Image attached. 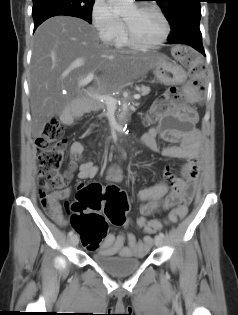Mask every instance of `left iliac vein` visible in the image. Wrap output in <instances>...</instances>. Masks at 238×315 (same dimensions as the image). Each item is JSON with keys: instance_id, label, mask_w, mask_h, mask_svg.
I'll list each match as a JSON object with an SVG mask.
<instances>
[{"instance_id": "left-iliac-vein-1", "label": "left iliac vein", "mask_w": 238, "mask_h": 315, "mask_svg": "<svg viewBox=\"0 0 238 315\" xmlns=\"http://www.w3.org/2000/svg\"><path fill=\"white\" fill-rule=\"evenodd\" d=\"M155 245L157 247H161L163 245V238H161L159 235L155 237Z\"/></svg>"}]
</instances>
